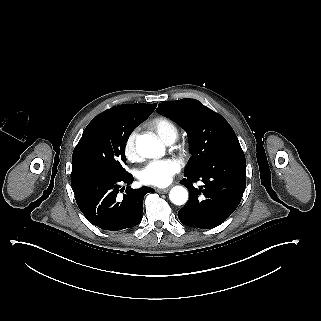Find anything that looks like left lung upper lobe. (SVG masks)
<instances>
[{
    "label": "left lung upper lobe",
    "instance_id": "left-lung-upper-lobe-1",
    "mask_svg": "<svg viewBox=\"0 0 321 321\" xmlns=\"http://www.w3.org/2000/svg\"><path fill=\"white\" fill-rule=\"evenodd\" d=\"M157 112L175 121L188 135L192 158L185 172L199 170L218 154L241 149L229 123L197 100L162 102Z\"/></svg>",
    "mask_w": 321,
    "mask_h": 321
}]
</instances>
